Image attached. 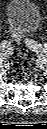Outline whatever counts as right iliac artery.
Instances as JSON below:
<instances>
[{
  "mask_svg": "<svg viewBox=\"0 0 47 129\" xmlns=\"http://www.w3.org/2000/svg\"><path fill=\"white\" fill-rule=\"evenodd\" d=\"M2 45H9V43L7 41H3Z\"/></svg>",
  "mask_w": 47,
  "mask_h": 129,
  "instance_id": "obj_1",
  "label": "right iliac artery"
}]
</instances>
